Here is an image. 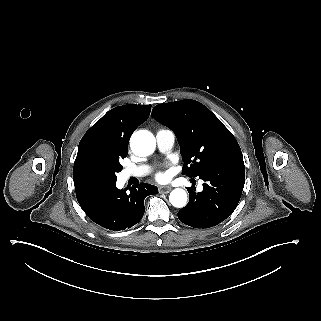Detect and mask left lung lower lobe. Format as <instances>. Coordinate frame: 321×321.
<instances>
[{
	"label": "left lung lower lobe",
	"instance_id": "obj_1",
	"mask_svg": "<svg viewBox=\"0 0 321 321\" xmlns=\"http://www.w3.org/2000/svg\"><path fill=\"white\" fill-rule=\"evenodd\" d=\"M197 176L205 181L203 191L187 188L190 200L178 212L179 220L194 228H209L228 218L235 210L245 182L243 159L213 164Z\"/></svg>",
	"mask_w": 321,
	"mask_h": 321
}]
</instances>
